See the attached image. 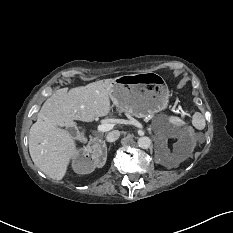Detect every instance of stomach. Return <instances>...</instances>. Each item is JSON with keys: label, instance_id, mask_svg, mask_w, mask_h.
I'll return each mask as SVG.
<instances>
[{"label": "stomach", "instance_id": "0dacf381", "mask_svg": "<svg viewBox=\"0 0 233 233\" xmlns=\"http://www.w3.org/2000/svg\"><path fill=\"white\" fill-rule=\"evenodd\" d=\"M168 98L166 82L154 72L122 75L112 82L110 99L113 104L137 118L165 110Z\"/></svg>", "mask_w": 233, "mask_h": 233}]
</instances>
